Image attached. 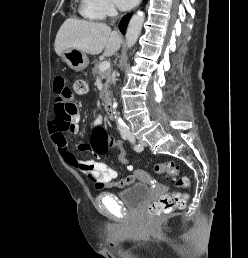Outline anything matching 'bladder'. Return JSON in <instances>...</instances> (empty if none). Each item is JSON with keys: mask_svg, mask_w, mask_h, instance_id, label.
Instances as JSON below:
<instances>
[{"mask_svg": "<svg viewBox=\"0 0 248 258\" xmlns=\"http://www.w3.org/2000/svg\"><path fill=\"white\" fill-rule=\"evenodd\" d=\"M149 195V187L136 183L116 194L118 199L128 208L137 209Z\"/></svg>", "mask_w": 248, "mask_h": 258, "instance_id": "bladder-1", "label": "bladder"}]
</instances>
